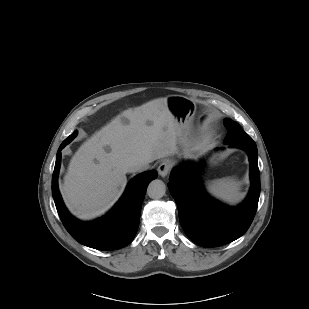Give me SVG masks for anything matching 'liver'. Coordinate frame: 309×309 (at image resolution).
<instances>
[{
  "label": "liver",
  "mask_w": 309,
  "mask_h": 309,
  "mask_svg": "<svg viewBox=\"0 0 309 309\" xmlns=\"http://www.w3.org/2000/svg\"><path fill=\"white\" fill-rule=\"evenodd\" d=\"M177 141L166 98L123 111L73 155L60 189L66 206L81 219L102 215L120 197L133 164L173 155Z\"/></svg>",
  "instance_id": "6515ba94"
}]
</instances>
